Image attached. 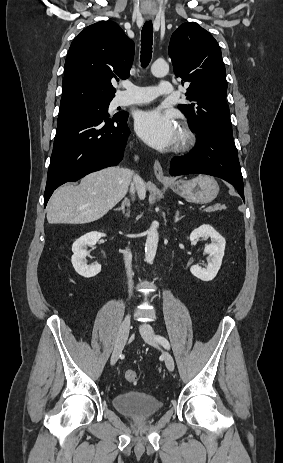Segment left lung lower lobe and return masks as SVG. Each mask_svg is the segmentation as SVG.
<instances>
[{"label":"left lung lower lobe","instance_id":"left-lung-lower-lobe-1","mask_svg":"<svg viewBox=\"0 0 283 463\" xmlns=\"http://www.w3.org/2000/svg\"><path fill=\"white\" fill-rule=\"evenodd\" d=\"M193 153L174 157L171 175L208 174L231 183L244 200L243 178L234 140L217 133H197Z\"/></svg>","mask_w":283,"mask_h":463}]
</instances>
